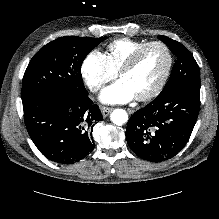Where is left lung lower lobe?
Instances as JSON below:
<instances>
[{"label":"left lung lower lobe","mask_w":219,"mask_h":219,"mask_svg":"<svg viewBox=\"0 0 219 219\" xmlns=\"http://www.w3.org/2000/svg\"><path fill=\"white\" fill-rule=\"evenodd\" d=\"M200 107V84H183L158 96L130 118L126 140L139 157L159 162L174 157L186 145Z\"/></svg>","instance_id":"left-lung-lower-lobe-1"}]
</instances>
